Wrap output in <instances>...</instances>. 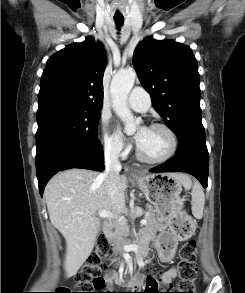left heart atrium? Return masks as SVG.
I'll return each mask as SVG.
<instances>
[{
    "instance_id": "obj_1",
    "label": "left heart atrium",
    "mask_w": 245,
    "mask_h": 293,
    "mask_svg": "<svg viewBox=\"0 0 245 293\" xmlns=\"http://www.w3.org/2000/svg\"><path fill=\"white\" fill-rule=\"evenodd\" d=\"M148 128L146 127H143L140 129V131L137 133V135L135 136V142L139 145L142 140H143V137L144 135L146 134Z\"/></svg>"
}]
</instances>
